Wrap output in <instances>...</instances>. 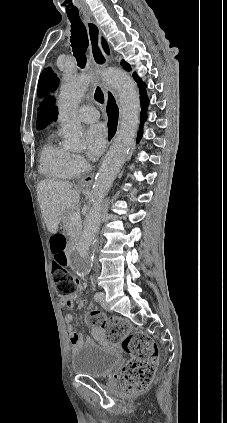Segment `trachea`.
Masks as SVG:
<instances>
[{
  "instance_id": "3493384b",
  "label": "trachea",
  "mask_w": 227,
  "mask_h": 423,
  "mask_svg": "<svg viewBox=\"0 0 227 423\" xmlns=\"http://www.w3.org/2000/svg\"><path fill=\"white\" fill-rule=\"evenodd\" d=\"M71 22V47L78 66L84 68L86 65V51L89 46V39L84 23L79 18L70 19ZM94 98L99 103H104V94L100 87L96 88Z\"/></svg>"
}]
</instances>
